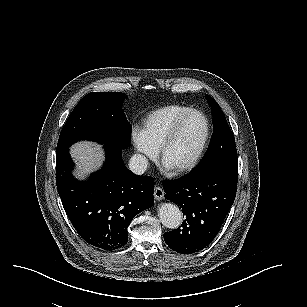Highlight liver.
Instances as JSON below:
<instances>
[{
	"instance_id": "6515ba94",
	"label": "liver",
	"mask_w": 307,
	"mask_h": 307,
	"mask_svg": "<svg viewBox=\"0 0 307 307\" xmlns=\"http://www.w3.org/2000/svg\"><path fill=\"white\" fill-rule=\"evenodd\" d=\"M70 154L76 163L73 174L80 180L85 179L89 173L98 170L105 159L101 146L88 141L72 145Z\"/></svg>"
}]
</instances>
